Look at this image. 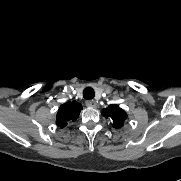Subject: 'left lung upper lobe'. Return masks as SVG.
Masks as SVG:
<instances>
[{
	"instance_id": "1",
	"label": "left lung upper lobe",
	"mask_w": 181,
	"mask_h": 181,
	"mask_svg": "<svg viewBox=\"0 0 181 181\" xmlns=\"http://www.w3.org/2000/svg\"><path fill=\"white\" fill-rule=\"evenodd\" d=\"M102 115L113 121L114 128L122 127L128 118L127 113L116 104H111L108 108L103 109Z\"/></svg>"
}]
</instances>
